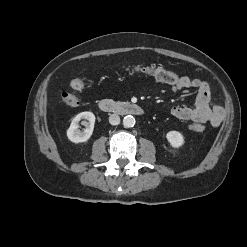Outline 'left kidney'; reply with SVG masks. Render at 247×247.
<instances>
[{"instance_id": "1", "label": "left kidney", "mask_w": 247, "mask_h": 247, "mask_svg": "<svg viewBox=\"0 0 247 247\" xmlns=\"http://www.w3.org/2000/svg\"><path fill=\"white\" fill-rule=\"evenodd\" d=\"M166 138L173 148H179L184 144V137L178 131H169Z\"/></svg>"}]
</instances>
